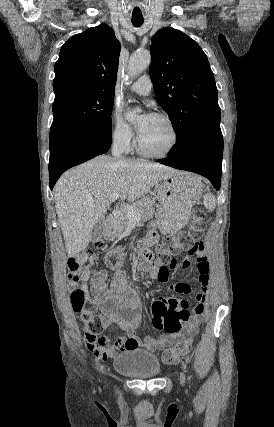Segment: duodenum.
<instances>
[{"label":"duodenum","instance_id":"1","mask_svg":"<svg viewBox=\"0 0 274 427\" xmlns=\"http://www.w3.org/2000/svg\"><path fill=\"white\" fill-rule=\"evenodd\" d=\"M110 219H107L104 223L105 228H107L110 225ZM142 254H143V259H145L146 261H149L151 259V253L148 249H143L142 250Z\"/></svg>","mask_w":274,"mask_h":427}]
</instances>
